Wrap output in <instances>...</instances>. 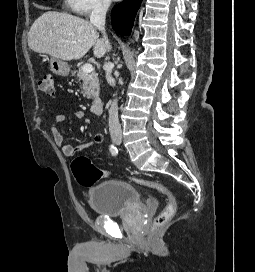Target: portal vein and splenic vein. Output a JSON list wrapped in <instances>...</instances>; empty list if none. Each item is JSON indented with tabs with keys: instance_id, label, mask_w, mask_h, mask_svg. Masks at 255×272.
I'll return each mask as SVG.
<instances>
[{
	"instance_id": "1",
	"label": "portal vein and splenic vein",
	"mask_w": 255,
	"mask_h": 272,
	"mask_svg": "<svg viewBox=\"0 0 255 272\" xmlns=\"http://www.w3.org/2000/svg\"><path fill=\"white\" fill-rule=\"evenodd\" d=\"M82 69L85 73H91L94 70L91 64L83 65Z\"/></svg>"
}]
</instances>
